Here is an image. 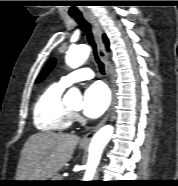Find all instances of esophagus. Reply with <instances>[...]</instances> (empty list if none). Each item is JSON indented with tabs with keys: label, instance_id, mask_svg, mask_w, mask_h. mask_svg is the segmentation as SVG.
<instances>
[{
	"label": "esophagus",
	"instance_id": "obj_1",
	"mask_svg": "<svg viewBox=\"0 0 178 186\" xmlns=\"http://www.w3.org/2000/svg\"><path fill=\"white\" fill-rule=\"evenodd\" d=\"M85 18L92 25L94 36H95V40H96V44H97L98 55H99L100 59L104 62L106 73L109 76L110 75V71H109V66H108V57H107L105 46H104V43H103V40H102V33H103L102 32V28H101V26H100V24H99V22H98V20L96 19L95 16L87 15V16H85ZM111 89H112V92H113L112 85H111ZM111 108H112V105L109 107L105 117L90 132H88L81 139V143L82 144L89 143L90 140L92 139V137L94 136V134L106 123V121L108 120V118L110 116Z\"/></svg>",
	"mask_w": 178,
	"mask_h": 186
}]
</instances>
